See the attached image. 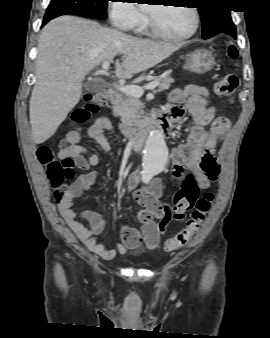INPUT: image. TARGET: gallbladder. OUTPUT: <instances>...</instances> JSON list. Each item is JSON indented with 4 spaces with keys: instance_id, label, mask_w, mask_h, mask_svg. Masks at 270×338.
I'll return each mask as SVG.
<instances>
[{
    "instance_id": "gallbladder-1",
    "label": "gallbladder",
    "mask_w": 270,
    "mask_h": 338,
    "mask_svg": "<svg viewBox=\"0 0 270 338\" xmlns=\"http://www.w3.org/2000/svg\"><path fill=\"white\" fill-rule=\"evenodd\" d=\"M85 90L91 93H98L103 92L105 90V87L98 82H86Z\"/></svg>"
}]
</instances>
